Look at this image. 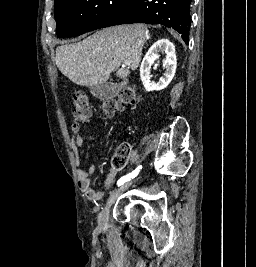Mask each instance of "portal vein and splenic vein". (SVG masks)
<instances>
[{
	"label": "portal vein and splenic vein",
	"instance_id": "1",
	"mask_svg": "<svg viewBox=\"0 0 256 267\" xmlns=\"http://www.w3.org/2000/svg\"><path fill=\"white\" fill-rule=\"evenodd\" d=\"M123 66H130V64H123Z\"/></svg>",
	"mask_w": 256,
	"mask_h": 267
}]
</instances>
